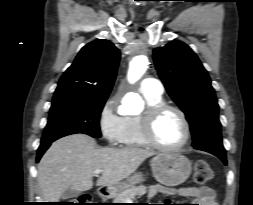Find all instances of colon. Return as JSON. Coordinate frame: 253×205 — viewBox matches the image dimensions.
Instances as JSON below:
<instances>
[{
    "label": "colon",
    "instance_id": "1",
    "mask_svg": "<svg viewBox=\"0 0 253 205\" xmlns=\"http://www.w3.org/2000/svg\"><path fill=\"white\" fill-rule=\"evenodd\" d=\"M213 178V171L210 165L204 161L199 160L194 166V180L197 184H204ZM91 199L88 195H82L71 202L70 205H90Z\"/></svg>",
    "mask_w": 253,
    "mask_h": 205
}]
</instances>
